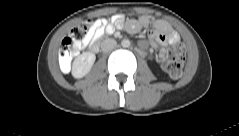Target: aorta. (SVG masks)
Returning <instances> with one entry per match:
<instances>
[{
	"instance_id": "762f6f07",
	"label": "aorta",
	"mask_w": 239,
	"mask_h": 136,
	"mask_svg": "<svg viewBox=\"0 0 239 136\" xmlns=\"http://www.w3.org/2000/svg\"><path fill=\"white\" fill-rule=\"evenodd\" d=\"M130 41L128 40V39H124V40H122V42H121V45H122V47H124V48H128L129 46H130Z\"/></svg>"
}]
</instances>
